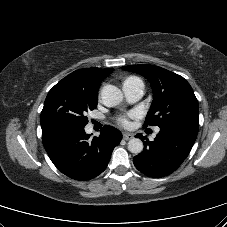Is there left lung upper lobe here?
Listing matches in <instances>:
<instances>
[{
	"label": "left lung upper lobe",
	"mask_w": 227,
	"mask_h": 227,
	"mask_svg": "<svg viewBox=\"0 0 227 227\" xmlns=\"http://www.w3.org/2000/svg\"><path fill=\"white\" fill-rule=\"evenodd\" d=\"M122 69L144 76L152 86L153 102L144 127H163L170 124L199 127L198 101L183 77L154 65H132Z\"/></svg>",
	"instance_id": "5c2ea615"
}]
</instances>
